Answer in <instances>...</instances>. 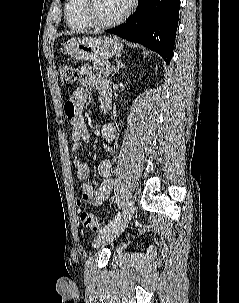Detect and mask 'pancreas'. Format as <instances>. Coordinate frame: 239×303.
<instances>
[{
	"label": "pancreas",
	"instance_id": "cf45deb5",
	"mask_svg": "<svg viewBox=\"0 0 239 303\" xmlns=\"http://www.w3.org/2000/svg\"><path fill=\"white\" fill-rule=\"evenodd\" d=\"M109 67L110 64L107 61H96L94 63V69L100 72L105 77L110 75Z\"/></svg>",
	"mask_w": 239,
	"mask_h": 303
}]
</instances>
